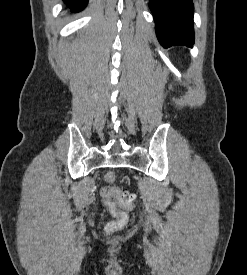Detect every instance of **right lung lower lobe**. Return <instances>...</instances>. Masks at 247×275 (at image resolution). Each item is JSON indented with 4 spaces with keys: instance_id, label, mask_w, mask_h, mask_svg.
Masks as SVG:
<instances>
[{
    "instance_id": "obj_1",
    "label": "right lung lower lobe",
    "mask_w": 247,
    "mask_h": 275,
    "mask_svg": "<svg viewBox=\"0 0 247 275\" xmlns=\"http://www.w3.org/2000/svg\"><path fill=\"white\" fill-rule=\"evenodd\" d=\"M71 12H78L84 9V7L87 5L88 0H63Z\"/></svg>"
}]
</instances>
